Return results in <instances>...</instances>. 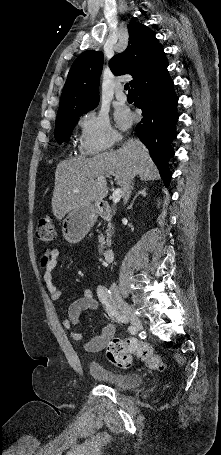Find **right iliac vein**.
<instances>
[{"label":"right iliac vein","instance_id":"1","mask_svg":"<svg viewBox=\"0 0 221 455\" xmlns=\"http://www.w3.org/2000/svg\"><path fill=\"white\" fill-rule=\"evenodd\" d=\"M115 299H116L118 305L120 306V308L127 315L131 324L135 327V329H137V330L142 329V327H143L142 322H141L140 318L133 312L130 305L119 295L116 296Z\"/></svg>","mask_w":221,"mask_h":455}]
</instances>
